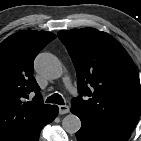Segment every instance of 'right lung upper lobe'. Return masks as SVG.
Segmentation results:
<instances>
[{
  "label": "right lung upper lobe",
  "instance_id": "1",
  "mask_svg": "<svg viewBox=\"0 0 141 141\" xmlns=\"http://www.w3.org/2000/svg\"><path fill=\"white\" fill-rule=\"evenodd\" d=\"M55 34L22 31L0 43V141L24 140L49 114L33 77V61ZM30 92L32 101L23 102Z\"/></svg>",
  "mask_w": 141,
  "mask_h": 141
}]
</instances>
